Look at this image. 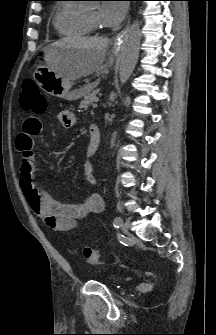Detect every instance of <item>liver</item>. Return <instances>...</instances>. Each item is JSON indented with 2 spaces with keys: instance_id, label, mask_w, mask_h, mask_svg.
<instances>
[{
  "instance_id": "6515ba94",
  "label": "liver",
  "mask_w": 216,
  "mask_h": 335,
  "mask_svg": "<svg viewBox=\"0 0 216 335\" xmlns=\"http://www.w3.org/2000/svg\"><path fill=\"white\" fill-rule=\"evenodd\" d=\"M52 45L73 47L78 50L62 71L71 80H75L91 75L100 69L105 59L108 39L99 37L64 38Z\"/></svg>"
}]
</instances>
